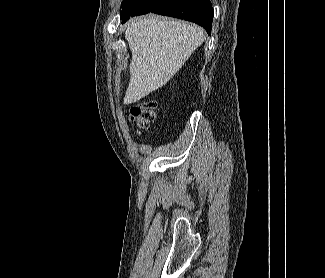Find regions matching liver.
I'll return each mask as SVG.
<instances>
[{
    "instance_id": "obj_1",
    "label": "liver",
    "mask_w": 325,
    "mask_h": 278,
    "mask_svg": "<svg viewBox=\"0 0 325 278\" xmlns=\"http://www.w3.org/2000/svg\"><path fill=\"white\" fill-rule=\"evenodd\" d=\"M125 38L132 61L124 104H131L166 84L203 43L205 35L196 25L146 16L128 25Z\"/></svg>"
}]
</instances>
